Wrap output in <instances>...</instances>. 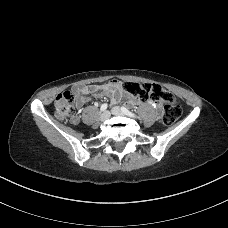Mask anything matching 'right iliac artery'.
Wrapping results in <instances>:
<instances>
[{"label": "right iliac artery", "instance_id": "82829eb1", "mask_svg": "<svg viewBox=\"0 0 228 228\" xmlns=\"http://www.w3.org/2000/svg\"><path fill=\"white\" fill-rule=\"evenodd\" d=\"M107 107H108V104L104 103V104L101 105L100 110L101 111H105L107 109Z\"/></svg>", "mask_w": 228, "mask_h": 228}]
</instances>
